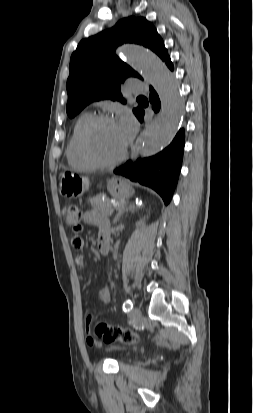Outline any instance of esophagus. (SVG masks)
Wrapping results in <instances>:
<instances>
[{
    "label": "esophagus",
    "instance_id": "esophagus-1",
    "mask_svg": "<svg viewBox=\"0 0 253 413\" xmlns=\"http://www.w3.org/2000/svg\"><path fill=\"white\" fill-rule=\"evenodd\" d=\"M140 138H141V135H140V137L138 138V140H137V142H136V144H135V146H134V148H133V150H132V155H131V158H132V159L136 158V156L138 155V152H139V140H140Z\"/></svg>",
    "mask_w": 253,
    "mask_h": 413
}]
</instances>
